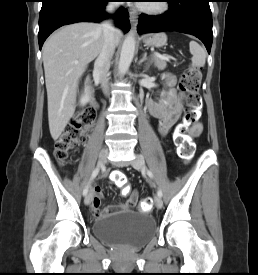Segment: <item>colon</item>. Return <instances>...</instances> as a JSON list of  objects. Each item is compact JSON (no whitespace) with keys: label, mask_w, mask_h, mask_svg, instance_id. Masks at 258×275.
Returning <instances> with one entry per match:
<instances>
[{"label":"colon","mask_w":258,"mask_h":275,"mask_svg":"<svg viewBox=\"0 0 258 275\" xmlns=\"http://www.w3.org/2000/svg\"><path fill=\"white\" fill-rule=\"evenodd\" d=\"M201 72L198 67L188 68L180 77L179 89L183 93L187 109L184 113L183 121L178 128L177 144L179 147L180 157L188 160L192 157L194 145L187 137L188 130L197 124L200 118L202 107L201 97L199 95V85ZM94 120V112L85 109L76 113L60 134L55 145V156L59 162L64 163L69 152L80 144L87 131L90 129ZM112 181L116 187L122 190L124 194L130 192L126 175L121 171L112 173ZM151 198H144L139 203V208L143 212L151 209Z\"/></svg>","instance_id":"1"}]
</instances>
